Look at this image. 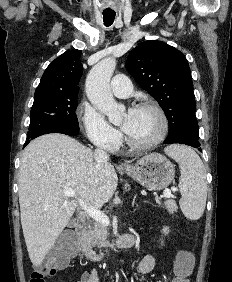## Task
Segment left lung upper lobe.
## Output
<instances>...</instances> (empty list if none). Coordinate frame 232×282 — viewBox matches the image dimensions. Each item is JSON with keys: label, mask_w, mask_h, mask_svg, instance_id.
Instances as JSON below:
<instances>
[{"label": "left lung upper lobe", "mask_w": 232, "mask_h": 282, "mask_svg": "<svg viewBox=\"0 0 232 282\" xmlns=\"http://www.w3.org/2000/svg\"><path fill=\"white\" fill-rule=\"evenodd\" d=\"M126 68L158 101L170 128L199 135L192 77L183 53L164 42L149 40L130 52Z\"/></svg>", "instance_id": "1"}]
</instances>
